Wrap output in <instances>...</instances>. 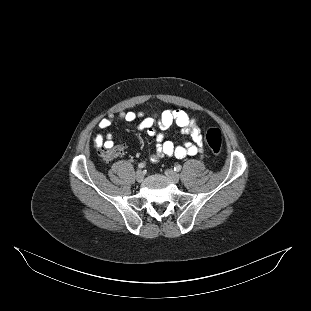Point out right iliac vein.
I'll list each match as a JSON object with an SVG mask.
<instances>
[{
  "label": "right iliac vein",
  "instance_id": "right-iliac-vein-1",
  "mask_svg": "<svg viewBox=\"0 0 311 311\" xmlns=\"http://www.w3.org/2000/svg\"><path fill=\"white\" fill-rule=\"evenodd\" d=\"M135 178L138 182H142L144 179V174L141 170H138L135 174Z\"/></svg>",
  "mask_w": 311,
  "mask_h": 311
}]
</instances>
